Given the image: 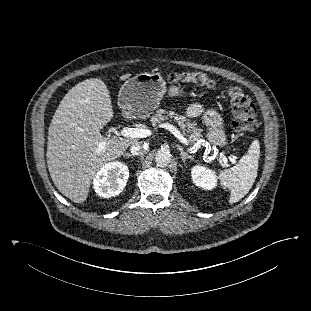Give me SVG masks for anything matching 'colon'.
<instances>
[{
    "instance_id": "colon-1",
    "label": "colon",
    "mask_w": 311,
    "mask_h": 311,
    "mask_svg": "<svg viewBox=\"0 0 311 311\" xmlns=\"http://www.w3.org/2000/svg\"><path fill=\"white\" fill-rule=\"evenodd\" d=\"M173 83L195 84L200 86L213 87L215 80L203 72L175 73L170 76ZM228 96L233 110L232 127L241 134L254 131L257 126L256 108L249 97L240 87H231ZM242 144H248V140H243Z\"/></svg>"
}]
</instances>
